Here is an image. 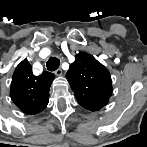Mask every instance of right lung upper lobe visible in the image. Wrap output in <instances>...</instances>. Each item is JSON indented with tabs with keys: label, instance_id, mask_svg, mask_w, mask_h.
<instances>
[{
	"label": "right lung upper lobe",
	"instance_id": "1",
	"mask_svg": "<svg viewBox=\"0 0 147 147\" xmlns=\"http://www.w3.org/2000/svg\"><path fill=\"white\" fill-rule=\"evenodd\" d=\"M54 78V74L47 71L40 76H34L31 65L24 59L12 77V101L25 114L34 115L41 112L48 104L49 88Z\"/></svg>",
	"mask_w": 147,
	"mask_h": 147
}]
</instances>
